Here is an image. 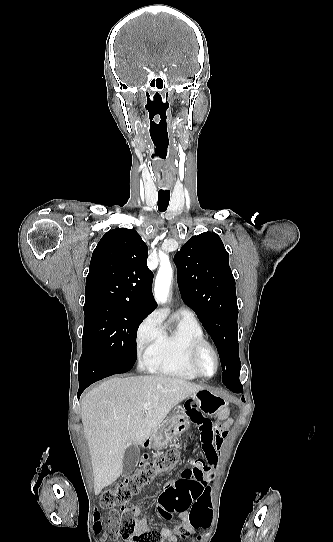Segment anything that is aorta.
<instances>
[{"mask_svg": "<svg viewBox=\"0 0 333 542\" xmlns=\"http://www.w3.org/2000/svg\"><path fill=\"white\" fill-rule=\"evenodd\" d=\"M172 268H159L154 286V298L157 304H166L171 284Z\"/></svg>", "mask_w": 333, "mask_h": 542, "instance_id": "obj_1", "label": "aorta"}]
</instances>
